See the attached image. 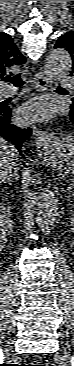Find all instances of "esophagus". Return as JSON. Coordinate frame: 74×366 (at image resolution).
<instances>
[{
  "label": "esophagus",
  "mask_w": 74,
  "mask_h": 366,
  "mask_svg": "<svg viewBox=\"0 0 74 366\" xmlns=\"http://www.w3.org/2000/svg\"><path fill=\"white\" fill-rule=\"evenodd\" d=\"M48 84V77L44 71H39L34 77V87L37 91H44ZM34 135L36 136L37 146L40 150H46L49 146L47 131L38 130L35 126L33 127Z\"/></svg>",
  "instance_id": "34e87169"
}]
</instances>
